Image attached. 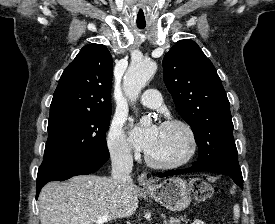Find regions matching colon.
<instances>
[{
    "label": "colon",
    "mask_w": 275,
    "mask_h": 224,
    "mask_svg": "<svg viewBox=\"0 0 275 224\" xmlns=\"http://www.w3.org/2000/svg\"><path fill=\"white\" fill-rule=\"evenodd\" d=\"M191 189L194 195V198L197 201H205L213 196L216 191V188L210 183L202 180L195 179L191 183Z\"/></svg>",
    "instance_id": "obj_1"
}]
</instances>
